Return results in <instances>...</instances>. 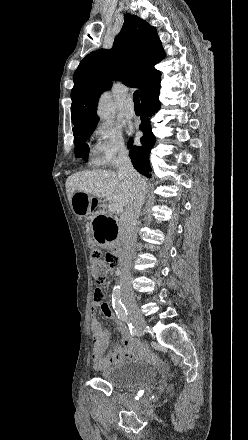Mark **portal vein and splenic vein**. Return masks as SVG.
Listing matches in <instances>:
<instances>
[{"label": "portal vein and splenic vein", "instance_id": "obj_1", "mask_svg": "<svg viewBox=\"0 0 248 440\" xmlns=\"http://www.w3.org/2000/svg\"><path fill=\"white\" fill-rule=\"evenodd\" d=\"M108 211L111 213H121L123 211V207L118 203H111L108 205Z\"/></svg>", "mask_w": 248, "mask_h": 440}]
</instances>
